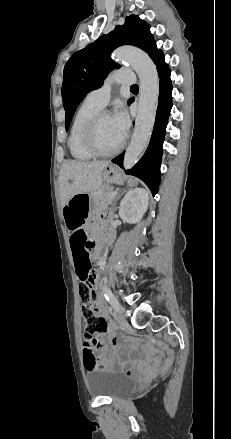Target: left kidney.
<instances>
[{"label":"left kidney","instance_id":"1","mask_svg":"<svg viewBox=\"0 0 231 439\" xmlns=\"http://www.w3.org/2000/svg\"><path fill=\"white\" fill-rule=\"evenodd\" d=\"M149 194L143 188L130 190L119 206L120 217L129 223L139 222L148 208Z\"/></svg>","mask_w":231,"mask_h":439}]
</instances>
